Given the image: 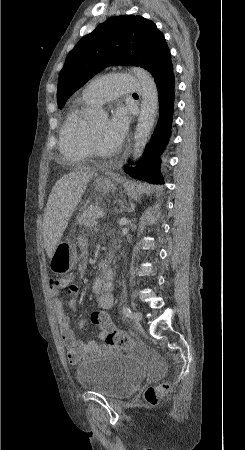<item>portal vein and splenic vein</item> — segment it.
<instances>
[{"label":"portal vein and splenic vein","mask_w":245,"mask_h":450,"mask_svg":"<svg viewBox=\"0 0 245 450\" xmlns=\"http://www.w3.org/2000/svg\"><path fill=\"white\" fill-rule=\"evenodd\" d=\"M104 216H105V212H103V211H99L96 215L97 218H102Z\"/></svg>","instance_id":"18ae733b"}]
</instances>
